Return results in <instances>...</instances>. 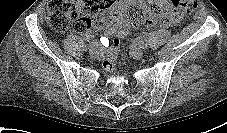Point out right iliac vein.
<instances>
[{
    "mask_svg": "<svg viewBox=\"0 0 227 133\" xmlns=\"http://www.w3.org/2000/svg\"><path fill=\"white\" fill-rule=\"evenodd\" d=\"M89 54L91 57H96L100 54V51L98 48L93 47L92 49L89 50Z\"/></svg>",
    "mask_w": 227,
    "mask_h": 133,
    "instance_id": "obj_1",
    "label": "right iliac vein"
}]
</instances>
